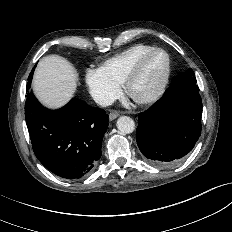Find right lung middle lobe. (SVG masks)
<instances>
[{"label":"right lung middle lobe","mask_w":232,"mask_h":232,"mask_svg":"<svg viewBox=\"0 0 232 232\" xmlns=\"http://www.w3.org/2000/svg\"><path fill=\"white\" fill-rule=\"evenodd\" d=\"M33 72H34V70H32V72H31V73H30V75H29V78H28V84H27V86H28V87H29V86H30V84H31V80H32Z\"/></svg>","instance_id":"1"}]
</instances>
